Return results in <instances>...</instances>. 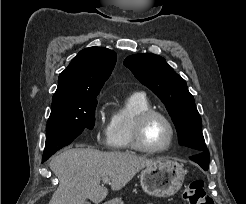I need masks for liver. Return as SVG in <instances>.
I'll list each match as a JSON object with an SVG mask.
<instances>
[{
  "label": "liver",
  "instance_id": "6515ba94",
  "mask_svg": "<svg viewBox=\"0 0 246 204\" xmlns=\"http://www.w3.org/2000/svg\"><path fill=\"white\" fill-rule=\"evenodd\" d=\"M157 161L132 153L68 149L50 162V169L59 179V187L49 204H84L86 199L99 204L108 195L101 180L110 179L111 189L118 191L140 170Z\"/></svg>",
  "mask_w": 246,
  "mask_h": 204
}]
</instances>
